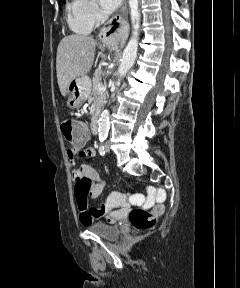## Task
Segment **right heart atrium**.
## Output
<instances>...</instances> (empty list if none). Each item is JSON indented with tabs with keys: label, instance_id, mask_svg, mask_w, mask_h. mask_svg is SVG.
I'll list each match as a JSON object with an SVG mask.
<instances>
[{
	"label": "right heart atrium",
	"instance_id": "1",
	"mask_svg": "<svg viewBox=\"0 0 240 288\" xmlns=\"http://www.w3.org/2000/svg\"><path fill=\"white\" fill-rule=\"evenodd\" d=\"M83 4L85 14L92 23L101 21L102 13L95 0H83Z\"/></svg>",
	"mask_w": 240,
	"mask_h": 288
}]
</instances>
